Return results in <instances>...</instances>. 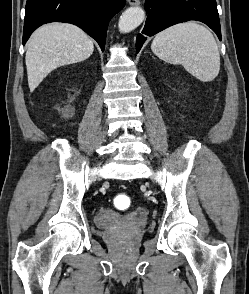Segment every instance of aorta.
<instances>
[{
    "label": "aorta",
    "instance_id": "obj_1",
    "mask_svg": "<svg viewBox=\"0 0 249 294\" xmlns=\"http://www.w3.org/2000/svg\"><path fill=\"white\" fill-rule=\"evenodd\" d=\"M145 12L140 7H130L121 15L118 28L121 33H129L144 20Z\"/></svg>",
    "mask_w": 249,
    "mask_h": 294
}]
</instances>
